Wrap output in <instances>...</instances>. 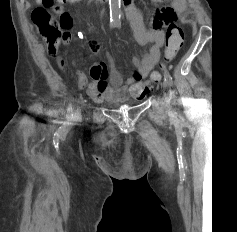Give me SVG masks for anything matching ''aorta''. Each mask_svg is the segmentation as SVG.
Masks as SVG:
<instances>
[{"label":"aorta","instance_id":"aorta-1","mask_svg":"<svg viewBox=\"0 0 237 232\" xmlns=\"http://www.w3.org/2000/svg\"><path fill=\"white\" fill-rule=\"evenodd\" d=\"M121 0H109L110 7V21L118 23L121 19Z\"/></svg>","mask_w":237,"mask_h":232}]
</instances>
